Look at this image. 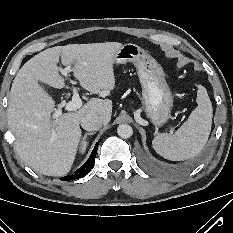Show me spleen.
I'll return each instance as SVG.
<instances>
[{"label":"spleen","instance_id":"obj_1","mask_svg":"<svg viewBox=\"0 0 233 233\" xmlns=\"http://www.w3.org/2000/svg\"><path fill=\"white\" fill-rule=\"evenodd\" d=\"M197 107L174 133H160L152 141L154 150L165 159L181 161L196 156L208 141L213 109L204 86L197 85Z\"/></svg>","mask_w":233,"mask_h":233}]
</instances>
